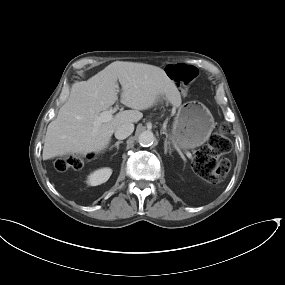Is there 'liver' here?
Listing matches in <instances>:
<instances>
[{
    "mask_svg": "<svg viewBox=\"0 0 285 285\" xmlns=\"http://www.w3.org/2000/svg\"><path fill=\"white\" fill-rule=\"evenodd\" d=\"M117 80L122 86L120 102L133 110L121 111L109 122H97L96 117L118 100ZM162 96L176 108L181 105L180 92L163 69L144 63H111L87 81L72 85L68 100L47 127L43 160L103 151L117 126L138 122L143 117L140 111Z\"/></svg>",
    "mask_w": 285,
    "mask_h": 285,
    "instance_id": "6515ba94",
    "label": "liver"
}]
</instances>
